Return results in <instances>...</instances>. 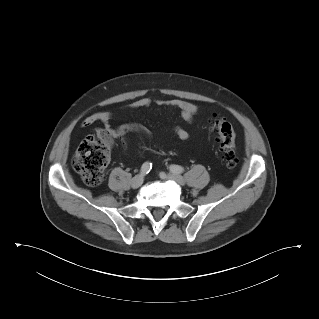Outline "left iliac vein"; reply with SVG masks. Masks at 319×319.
Wrapping results in <instances>:
<instances>
[{
    "label": "left iliac vein",
    "instance_id": "obj_1",
    "mask_svg": "<svg viewBox=\"0 0 319 319\" xmlns=\"http://www.w3.org/2000/svg\"><path fill=\"white\" fill-rule=\"evenodd\" d=\"M160 177L162 179H169V180L175 181L179 185L185 184L184 178L181 175L176 174V173L165 174L162 172V173H160Z\"/></svg>",
    "mask_w": 319,
    "mask_h": 319
}]
</instances>
